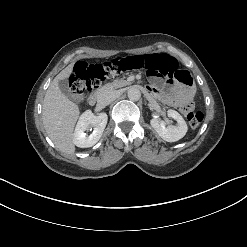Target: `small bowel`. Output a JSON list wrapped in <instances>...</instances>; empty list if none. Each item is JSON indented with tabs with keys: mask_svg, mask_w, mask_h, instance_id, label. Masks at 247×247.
Returning a JSON list of instances; mask_svg holds the SVG:
<instances>
[{
	"mask_svg": "<svg viewBox=\"0 0 247 247\" xmlns=\"http://www.w3.org/2000/svg\"><path fill=\"white\" fill-rule=\"evenodd\" d=\"M151 86L149 91L158 97L165 105L178 109L182 114L187 115L193 109V89L174 82L164 86L163 80L170 78L168 75L155 70H146Z\"/></svg>",
	"mask_w": 247,
	"mask_h": 247,
	"instance_id": "small-bowel-1",
	"label": "small bowel"
}]
</instances>
